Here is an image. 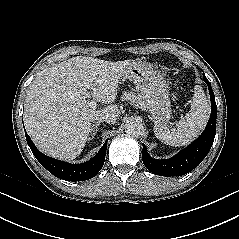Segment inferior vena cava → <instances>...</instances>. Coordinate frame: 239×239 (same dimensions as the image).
Returning <instances> with one entry per match:
<instances>
[{"label": "inferior vena cava", "mask_w": 239, "mask_h": 239, "mask_svg": "<svg viewBox=\"0 0 239 239\" xmlns=\"http://www.w3.org/2000/svg\"><path fill=\"white\" fill-rule=\"evenodd\" d=\"M93 120L100 121V122H107L109 124H114L116 119L110 115H96Z\"/></svg>", "instance_id": "inferior-vena-cava-1"}]
</instances>
